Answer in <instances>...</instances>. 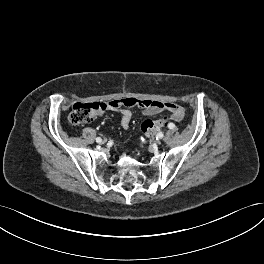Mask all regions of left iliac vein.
Returning a JSON list of instances; mask_svg holds the SVG:
<instances>
[{
  "mask_svg": "<svg viewBox=\"0 0 264 264\" xmlns=\"http://www.w3.org/2000/svg\"><path fill=\"white\" fill-rule=\"evenodd\" d=\"M156 143H157V144H162V143H163V140H162V139H157V140H156Z\"/></svg>",
  "mask_w": 264,
  "mask_h": 264,
  "instance_id": "left-iliac-vein-1",
  "label": "left iliac vein"
}]
</instances>
